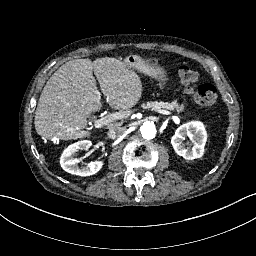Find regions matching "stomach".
<instances>
[{"label": "stomach", "mask_w": 256, "mask_h": 256, "mask_svg": "<svg viewBox=\"0 0 256 256\" xmlns=\"http://www.w3.org/2000/svg\"><path fill=\"white\" fill-rule=\"evenodd\" d=\"M156 77L161 81V85H163L166 81L165 72L162 70H156Z\"/></svg>", "instance_id": "0dacf381"}]
</instances>
